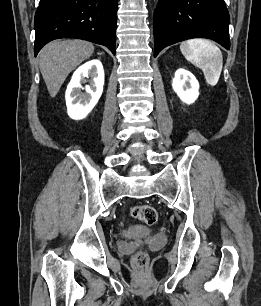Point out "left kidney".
<instances>
[{"mask_svg":"<svg viewBox=\"0 0 261 306\" xmlns=\"http://www.w3.org/2000/svg\"><path fill=\"white\" fill-rule=\"evenodd\" d=\"M172 88L177 96L186 104H192L199 96V83L194 75L185 70L178 69L172 81Z\"/></svg>","mask_w":261,"mask_h":306,"instance_id":"left-kidney-1","label":"left kidney"}]
</instances>
